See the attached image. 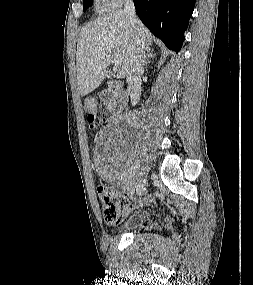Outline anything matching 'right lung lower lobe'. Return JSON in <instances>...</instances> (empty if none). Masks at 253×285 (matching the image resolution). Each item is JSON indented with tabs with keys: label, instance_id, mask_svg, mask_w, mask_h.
<instances>
[{
	"label": "right lung lower lobe",
	"instance_id": "obj_1",
	"mask_svg": "<svg viewBox=\"0 0 253 285\" xmlns=\"http://www.w3.org/2000/svg\"><path fill=\"white\" fill-rule=\"evenodd\" d=\"M136 14L147 28L171 50L178 52L195 0H134Z\"/></svg>",
	"mask_w": 253,
	"mask_h": 285
}]
</instances>
